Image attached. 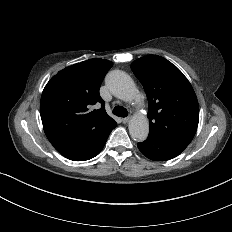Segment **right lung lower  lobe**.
<instances>
[{"label": "right lung lower lobe", "instance_id": "right-lung-lower-lobe-1", "mask_svg": "<svg viewBox=\"0 0 232 232\" xmlns=\"http://www.w3.org/2000/svg\"><path fill=\"white\" fill-rule=\"evenodd\" d=\"M117 126L115 123L107 132L99 137L75 143V144H52L64 157L73 161L89 160L100 153L103 149L110 132Z\"/></svg>", "mask_w": 232, "mask_h": 232}]
</instances>
